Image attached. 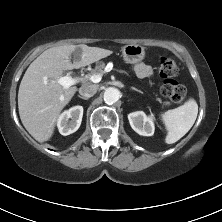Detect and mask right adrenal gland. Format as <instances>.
I'll list each match as a JSON object with an SVG mask.
<instances>
[{"label": "right adrenal gland", "mask_w": 222, "mask_h": 222, "mask_svg": "<svg viewBox=\"0 0 222 222\" xmlns=\"http://www.w3.org/2000/svg\"><path fill=\"white\" fill-rule=\"evenodd\" d=\"M79 98L84 99V100H88V98H85L83 96L78 95Z\"/></svg>", "instance_id": "1"}]
</instances>
